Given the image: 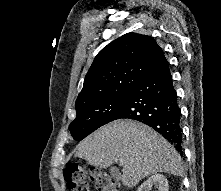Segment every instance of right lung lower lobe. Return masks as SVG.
<instances>
[{
	"label": "right lung lower lobe",
	"instance_id": "1",
	"mask_svg": "<svg viewBox=\"0 0 221 191\" xmlns=\"http://www.w3.org/2000/svg\"><path fill=\"white\" fill-rule=\"evenodd\" d=\"M122 118L147 124L183 154L181 111L167 61L128 94L115 120Z\"/></svg>",
	"mask_w": 221,
	"mask_h": 191
}]
</instances>
